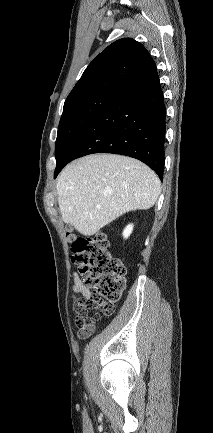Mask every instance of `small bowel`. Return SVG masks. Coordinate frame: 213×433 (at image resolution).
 Masks as SVG:
<instances>
[{"mask_svg":"<svg viewBox=\"0 0 213 433\" xmlns=\"http://www.w3.org/2000/svg\"><path fill=\"white\" fill-rule=\"evenodd\" d=\"M72 293H73L72 296L75 300H78V296H82L85 300L91 297L90 290L87 287H85V285L82 283L77 273H73ZM80 301L81 300L77 301V306L79 305ZM94 330H95V325L93 324L88 328L80 329L78 332V336L80 338H87L94 332Z\"/></svg>","mask_w":213,"mask_h":433,"instance_id":"obj_1","label":"small bowel"}]
</instances>
